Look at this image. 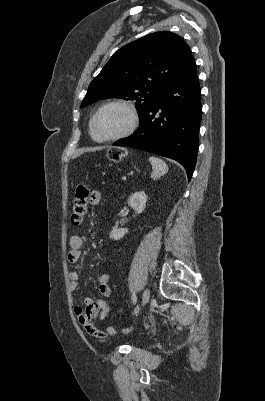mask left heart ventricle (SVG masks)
<instances>
[{
	"label": "left heart ventricle",
	"mask_w": 265,
	"mask_h": 401,
	"mask_svg": "<svg viewBox=\"0 0 265 401\" xmlns=\"http://www.w3.org/2000/svg\"><path fill=\"white\" fill-rule=\"evenodd\" d=\"M128 114L121 107H109L97 117L93 133L97 138H107L118 134L126 125Z\"/></svg>",
	"instance_id": "obj_1"
}]
</instances>
